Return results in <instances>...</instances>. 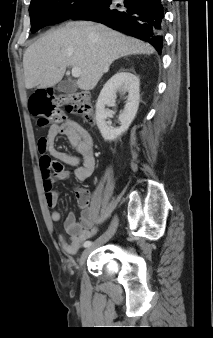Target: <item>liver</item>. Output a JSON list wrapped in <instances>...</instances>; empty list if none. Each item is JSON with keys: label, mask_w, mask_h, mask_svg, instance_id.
<instances>
[{"label": "liver", "mask_w": 213, "mask_h": 338, "mask_svg": "<svg viewBox=\"0 0 213 338\" xmlns=\"http://www.w3.org/2000/svg\"><path fill=\"white\" fill-rule=\"evenodd\" d=\"M154 51L150 44L104 25L70 22L49 31L26 49L23 56L25 86L27 89L52 87L71 66L81 69L78 87L89 91L116 59L151 55Z\"/></svg>", "instance_id": "1"}]
</instances>
